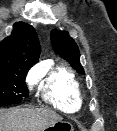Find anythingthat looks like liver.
<instances>
[{
  "label": "liver",
  "instance_id": "6515ba94",
  "mask_svg": "<svg viewBox=\"0 0 117 131\" xmlns=\"http://www.w3.org/2000/svg\"><path fill=\"white\" fill-rule=\"evenodd\" d=\"M60 120V115L45 108L0 110V131H43Z\"/></svg>",
  "mask_w": 117,
  "mask_h": 131
}]
</instances>
